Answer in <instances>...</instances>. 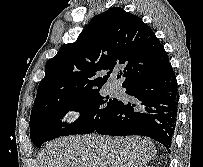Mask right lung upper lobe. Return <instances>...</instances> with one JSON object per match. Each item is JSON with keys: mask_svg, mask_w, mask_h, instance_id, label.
Listing matches in <instances>:
<instances>
[{"mask_svg": "<svg viewBox=\"0 0 203 167\" xmlns=\"http://www.w3.org/2000/svg\"><path fill=\"white\" fill-rule=\"evenodd\" d=\"M168 64L167 53L147 24L120 7L110 8L48 60L32 110L57 98L99 91L113 70L120 69L117 77L124 78L126 87Z\"/></svg>", "mask_w": 203, "mask_h": 167, "instance_id": "1", "label": "right lung upper lobe"}]
</instances>
